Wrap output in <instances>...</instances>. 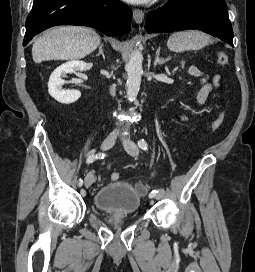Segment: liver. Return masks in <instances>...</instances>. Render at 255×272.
I'll return each instance as SVG.
<instances>
[{"mask_svg": "<svg viewBox=\"0 0 255 272\" xmlns=\"http://www.w3.org/2000/svg\"><path fill=\"white\" fill-rule=\"evenodd\" d=\"M100 40L96 31L87 27H55L34 41L33 61L82 59L97 48Z\"/></svg>", "mask_w": 255, "mask_h": 272, "instance_id": "1", "label": "liver"}]
</instances>
